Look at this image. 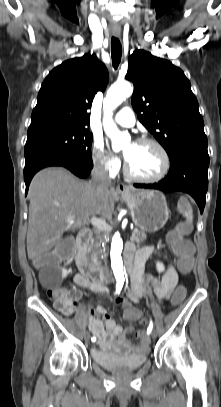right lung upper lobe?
I'll use <instances>...</instances> for the list:
<instances>
[{
    "mask_svg": "<svg viewBox=\"0 0 221 407\" xmlns=\"http://www.w3.org/2000/svg\"><path fill=\"white\" fill-rule=\"evenodd\" d=\"M108 71L95 55L63 62L44 80L29 128L69 125L87 128L88 109L97 91H104Z\"/></svg>",
    "mask_w": 221,
    "mask_h": 407,
    "instance_id": "1",
    "label": "right lung upper lobe"
}]
</instances>
